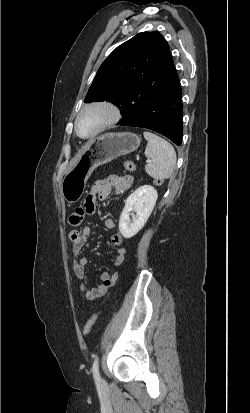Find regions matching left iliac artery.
Returning <instances> with one entry per match:
<instances>
[{
	"instance_id": "obj_1",
	"label": "left iliac artery",
	"mask_w": 250,
	"mask_h": 413,
	"mask_svg": "<svg viewBox=\"0 0 250 413\" xmlns=\"http://www.w3.org/2000/svg\"><path fill=\"white\" fill-rule=\"evenodd\" d=\"M92 372H93V377L96 382H100V375H99V369H98V357H95V360L93 362L92 366Z\"/></svg>"
}]
</instances>
